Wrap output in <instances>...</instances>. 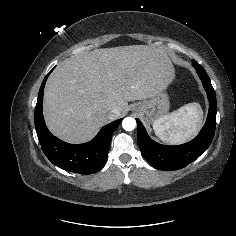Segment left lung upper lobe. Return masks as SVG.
Masks as SVG:
<instances>
[{"mask_svg":"<svg viewBox=\"0 0 236 236\" xmlns=\"http://www.w3.org/2000/svg\"><path fill=\"white\" fill-rule=\"evenodd\" d=\"M194 67L203 68L201 65H199L196 61L192 60Z\"/></svg>","mask_w":236,"mask_h":236,"instance_id":"left-lung-upper-lobe-1","label":"left lung upper lobe"}]
</instances>
